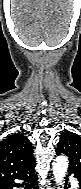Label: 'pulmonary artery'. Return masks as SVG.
I'll use <instances>...</instances> for the list:
<instances>
[{
	"label": "pulmonary artery",
	"instance_id": "obj_1",
	"mask_svg": "<svg viewBox=\"0 0 81 189\" xmlns=\"http://www.w3.org/2000/svg\"><path fill=\"white\" fill-rule=\"evenodd\" d=\"M72 185H73L74 188H77L78 184H77V182L74 179H72Z\"/></svg>",
	"mask_w": 81,
	"mask_h": 189
}]
</instances>
